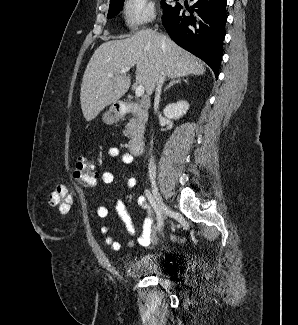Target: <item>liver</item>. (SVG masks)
I'll return each instance as SVG.
<instances>
[{
    "instance_id": "obj_1",
    "label": "liver",
    "mask_w": 298,
    "mask_h": 325,
    "mask_svg": "<svg viewBox=\"0 0 298 325\" xmlns=\"http://www.w3.org/2000/svg\"><path fill=\"white\" fill-rule=\"evenodd\" d=\"M136 64V82L152 94L161 74L180 78L204 74L203 62L157 30H138L123 40H108L96 48L83 74L80 104L84 118L93 120L105 106L118 102L131 84V74L119 72ZM114 76H107V74Z\"/></svg>"
}]
</instances>
